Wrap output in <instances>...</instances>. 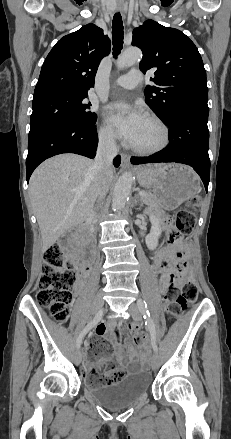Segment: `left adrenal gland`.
<instances>
[{
    "mask_svg": "<svg viewBox=\"0 0 231 439\" xmlns=\"http://www.w3.org/2000/svg\"><path fill=\"white\" fill-rule=\"evenodd\" d=\"M139 201H142L138 194L135 195L134 204L136 205Z\"/></svg>",
    "mask_w": 231,
    "mask_h": 439,
    "instance_id": "1",
    "label": "left adrenal gland"
}]
</instances>
